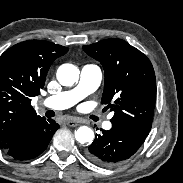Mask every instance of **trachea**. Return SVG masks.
<instances>
[{
  "instance_id": "obj_1",
  "label": "trachea",
  "mask_w": 183,
  "mask_h": 183,
  "mask_svg": "<svg viewBox=\"0 0 183 183\" xmlns=\"http://www.w3.org/2000/svg\"><path fill=\"white\" fill-rule=\"evenodd\" d=\"M55 116V113H54V111H52V110H49V111H47L46 112V117H54Z\"/></svg>"
}]
</instances>
